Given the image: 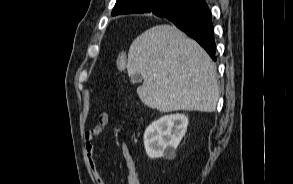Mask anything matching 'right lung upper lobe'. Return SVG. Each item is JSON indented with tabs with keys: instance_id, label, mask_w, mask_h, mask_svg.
I'll use <instances>...</instances> for the list:
<instances>
[{
	"instance_id": "obj_1",
	"label": "right lung upper lobe",
	"mask_w": 293,
	"mask_h": 184,
	"mask_svg": "<svg viewBox=\"0 0 293 184\" xmlns=\"http://www.w3.org/2000/svg\"><path fill=\"white\" fill-rule=\"evenodd\" d=\"M191 3L206 5L205 0H117L112 15L153 13L162 17L166 13Z\"/></svg>"
}]
</instances>
